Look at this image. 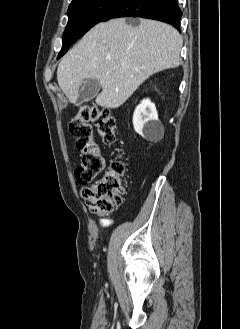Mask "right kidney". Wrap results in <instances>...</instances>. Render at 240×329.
<instances>
[{"label": "right kidney", "instance_id": "obj_1", "mask_svg": "<svg viewBox=\"0 0 240 329\" xmlns=\"http://www.w3.org/2000/svg\"><path fill=\"white\" fill-rule=\"evenodd\" d=\"M135 131L146 139L162 137L164 128L158 119L155 104L149 99H144L136 107L133 115Z\"/></svg>", "mask_w": 240, "mask_h": 329}]
</instances>
